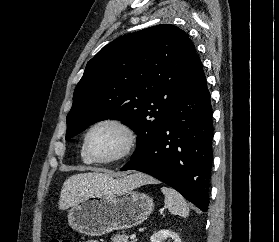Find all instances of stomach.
<instances>
[{
    "label": "stomach",
    "instance_id": "stomach-1",
    "mask_svg": "<svg viewBox=\"0 0 279 242\" xmlns=\"http://www.w3.org/2000/svg\"><path fill=\"white\" fill-rule=\"evenodd\" d=\"M153 199L133 189H117L83 198L68 211L69 226L88 236L140 225L152 213Z\"/></svg>",
    "mask_w": 279,
    "mask_h": 242
}]
</instances>
